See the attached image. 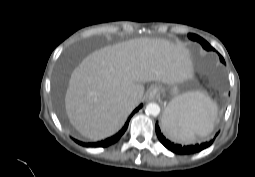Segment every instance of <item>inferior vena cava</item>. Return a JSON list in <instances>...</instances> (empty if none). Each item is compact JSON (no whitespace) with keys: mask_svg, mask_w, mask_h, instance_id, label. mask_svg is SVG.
I'll use <instances>...</instances> for the list:
<instances>
[{"mask_svg":"<svg viewBox=\"0 0 255 177\" xmlns=\"http://www.w3.org/2000/svg\"><path fill=\"white\" fill-rule=\"evenodd\" d=\"M129 103H130V104H135V99H134V98H130V99H129Z\"/></svg>","mask_w":255,"mask_h":177,"instance_id":"602c4592","label":"inferior vena cava"}]
</instances>
